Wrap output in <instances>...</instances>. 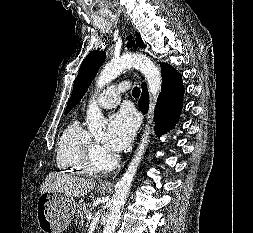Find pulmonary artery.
I'll list each match as a JSON object with an SVG mask.
<instances>
[{"mask_svg": "<svg viewBox=\"0 0 253 233\" xmlns=\"http://www.w3.org/2000/svg\"><path fill=\"white\" fill-rule=\"evenodd\" d=\"M126 90L125 85H116L107 88L97 98V104L102 108H113L121 101V94Z\"/></svg>", "mask_w": 253, "mask_h": 233, "instance_id": "1", "label": "pulmonary artery"}]
</instances>
